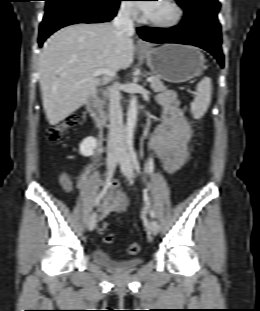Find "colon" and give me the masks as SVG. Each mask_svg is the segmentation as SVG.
Here are the masks:
<instances>
[{"instance_id": "obj_1", "label": "colon", "mask_w": 260, "mask_h": 311, "mask_svg": "<svg viewBox=\"0 0 260 311\" xmlns=\"http://www.w3.org/2000/svg\"><path fill=\"white\" fill-rule=\"evenodd\" d=\"M78 124V118L76 116H71L67 118L64 122L53 125L48 128V138L49 140L55 141L61 138L69 129L75 127ZM108 228V223H103L100 227V232L106 231ZM104 243H112L114 241L113 234H107L103 238ZM140 251V245L136 242L131 243L128 247V253L131 255H136Z\"/></svg>"}]
</instances>
